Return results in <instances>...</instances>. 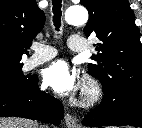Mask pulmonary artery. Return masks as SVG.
<instances>
[{"label":"pulmonary artery","instance_id":"e3ab8cb5","mask_svg":"<svg viewBox=\"0 0 142 128\" xmlns=\"http://www.w3.org/2000/svg\"><path fill=\"white\" fill-rule=\"evenodd\" d=\"M68 47L73 52H83L86 49V42L79 35H71L68 39ZM56 54L57 51L52 46L38 44L34 46V54L25 62V68L31 70L52 59Z\"/></svg>","mask_w":142,"mask_h":128}]
</instances>
